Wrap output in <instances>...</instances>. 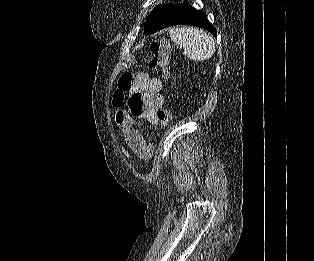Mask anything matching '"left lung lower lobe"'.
Here are the masks:
<instances>
[{"instance_id":"left-lung-lower-lobe-1","label":"left lung lower lobe","mask_w":314,"mask_h":261,"mask_svg":"<svg viewBox=\"0 0 314 261\" xmlns=\"http://www.w3.org/2000/svg\"><path fill=\"white\" fill-rule=\"evenodd\" d=\"M173 25H193L201 27L217 37L216 29L207 19L205 12L194 9L187 1L181 4L176 14L162 28Z\"/></svg>"}]
</instances>
